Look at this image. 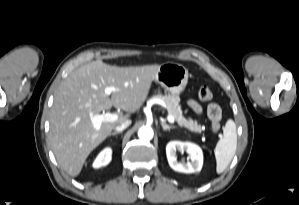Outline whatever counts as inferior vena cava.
Segmentation results:
<instances>
[{"label":"inferior vena cava","instance_id":"inferior-vena-cava-1","mask_svg":"<svg viewBox=\"0 0 299 205\" xmlns=\"http://www.w3.org/2000/svg\"><path fill=\"white\" fill-rule=\"evenodd\" d=\"M131 124V120H126L120 125H117L115 127L116 132H122L124 129H126Z\"/></svg>","mask_w":299,"mask_h":205}]
</instances>
